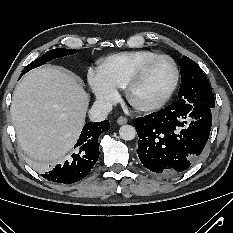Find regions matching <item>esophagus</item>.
<instances>
[{"instance_id":"1","label":"esophagus","mask_w":233,"mask_h":233,"mask_svg":"<svg viewBox=\"0 0 233 233\" xmlns=\"http://www.w3.org/2000/svg\"><path fill=\"white\" fill-rule=\"evenodd\" d=\"M128 122V119L126 117H119L117 119V124L118 125H123V124H126Z\"/></svg>"}]
</instances>
